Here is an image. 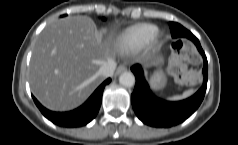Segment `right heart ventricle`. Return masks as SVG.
<instances>
[{"instance_id":"e07e8e85","label":"right heart ventricle","mask_w":238,"mask_h":145,"mask_svg":"<svg viewBox=\"0 0 238 145\" xmlns=\"http://www.w3.org/2000/svg\"><path fill=\"white\" fill-rule=\"evenodd\" d=\"M157 31V27L152 24H138L122 32L116 43L123 51L139 49L153 40Z\"/></svg>"}]
</instances>
